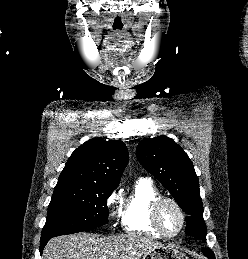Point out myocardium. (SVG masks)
I'll return each instance as SVG.
<instances>
[{"label": "myocardium", "instance_id": "1", "mask_svg": "<svg viewBox=\"0 0 248 259\" xmlns=\"http://www.w3.org/2000/svg\"><path fill=\"white\" fill-rule=\"evenodd\" d=\"M170 203L172 204L179 212L181 217V225L179 230L174 234H169L165 231V229L162 226L161 219H160V213L161 209L164 204ZM151 221L155 229L159 232V234L166 238H174L178 236L185 228L186 225V214L180 203L171 198L166 196H160L157 200L154 201L151 209Z\"/></svg>", "mask_w": 248, "mask_h": 259}]
</instances>
